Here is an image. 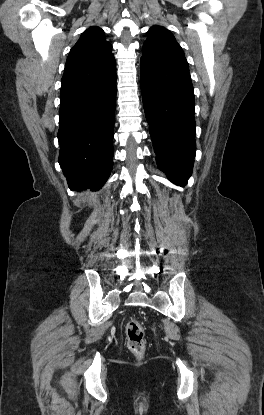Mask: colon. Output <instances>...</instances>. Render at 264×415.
<instances>
[{
	"mask_svg": "<svg viewBox=\"0 0 264 415\" xmlns=\"http://www.w3.org/2000/svg\"><path fill=\"white\" fill-rule=\"evenodd\" d=\"M125 329L129 349L135 355H142L145 350V334L142 324L135 318H129Z\"/></svg>",
	"mask_w": 264,
	"mask_h": 415,
	"instance_id": "colon-1",
	"label": "colon"
}]
</instances>
